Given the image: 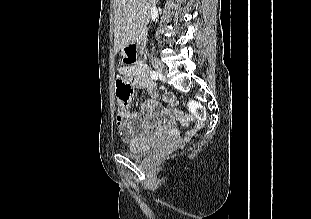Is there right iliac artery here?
<instances>
[{
    "mask_svg": "<svg viewBox=\"0 0 311 219\" xmlns=\"http://www.w3.org/2000/svg\"><path fill=\"white\" fill-rule=\"evenodd\" d=\"M150 76H151L152 79L157 80L158 77H159V74L156 71H151L150 72Z\"/></svg>",
    "mask_w": 311,
    "mask_h": 219,
    "instance_id": "obj_1",
    "label": "right iliac artery"
}]
</instances>
